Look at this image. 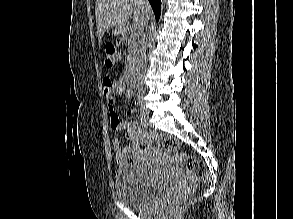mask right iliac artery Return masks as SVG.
<instances>
[{
  "label": "right iliac artery",
  "instance_id": "obj_1",
  "mask_svg": "<svg viewBox=\"0 0 293 219\" xmlns=\"http://www.w3.org/2000/svg\"><path fill=\"white\" fill-rule=\"evenodd\" d=\"M139 122L143 127L147 126V121L142 116L140 117Z\"/></svg>",
  "mask_w": 293,
  "mask_h": 219
}]
</instances>
